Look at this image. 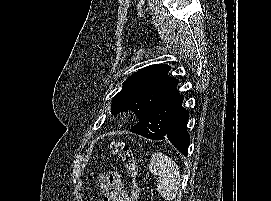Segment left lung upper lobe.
I'll return each mask as SVG.
<instances>
[{
    "label": "left lung upper lobe",
    "instance_id": "left-lung-upper-lobe-1",
    "mask_svg": "<svg viewBox=\"0 0 271 201\" xmlns=\"http://www.w3.org/2000/svg\"><path fill=\"white\" fill-rule=\"evenodd\" d=\"M170 67L154 64L132 74L112 99L111 113L133 111L142 128L140 135L159 140L167 131L178 101V80L168 76Z\"/></svg>",
    "mask_w": 271,
    "mask_h": 201
}]
</instances>
